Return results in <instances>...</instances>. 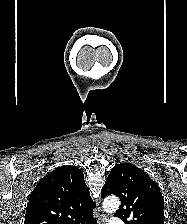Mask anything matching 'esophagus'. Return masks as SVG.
<instances>
[{"instance_id":"1","label":"esophagus","mask_w":187,"mask_h":224,"mask_svg":"<svg viewBox=\"0 0 187 224\" xmlns=\"http://www.w3.org/2000/svg\"><path fill=\"white\" fill-rule=\"evenodd\" d=\"M98 224H107V216L105 214H101L98 219Z\"/></svg>"}]
</instances>
